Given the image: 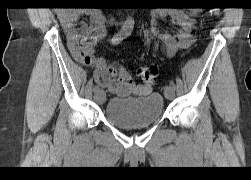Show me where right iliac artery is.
I'll return each mask as SVG.
<instances>
[{
  "mask_svg": "<svg viewBox=\"0 0 251 180\" xmlns=\"http://www.w3.org/2000/svg\"><path fill=\"white\" fill-rule=\"evenodd\" d=\"M134 27V18L132 16H128L127 19L125 20L122 28L112 37L111 43L114 45L119 44L123 39L127 38ZM100 88L99 86H94L93 91L97 92L99 91Z\"/></svg>",
  "mask_w": 251,
  "mask_h": 180,
  "instance_id": "obj_1",
  "label": "right iliac artery"
}]
</instances>
